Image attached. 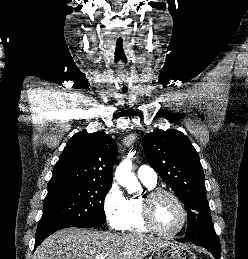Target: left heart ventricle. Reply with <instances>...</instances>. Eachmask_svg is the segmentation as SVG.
<instances>
[{"label":"left heart ventricle","instance_id":"1","mask_svg":"<svg viewBox=\"0 0 248 259\" xmlns=\"http://www.w3.org/2000/svg\"><path fill=\"white\" fill-rule=\"evenodd\" d=\"M154 219L161 230L171 232L181 223V210L172 198L161 196L154 204Z\"/></svg>","mask_w":248,"mask_h":259}]
</instances>
